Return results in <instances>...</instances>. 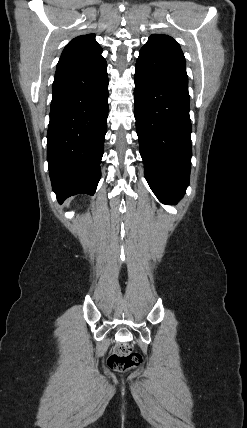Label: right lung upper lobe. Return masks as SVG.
I'll list each match as a JSON object with an SVG mask.
<instances>
[{"mask_svg":"<svg viewBox=\"0 0 247 428\" xmlns=\"http://www.w3.org/2000/svg\"><path fill=\"white\" fill-rule=\"evenodd\" d=\"M102 48L94 34L78 36L64 48L57 64L56 73L85 66L101 56Z\"/></svg>","mask_w":247,"mask_h":428,"instance_id":"right-lung-upper-lobe-1","label":"right lung upper lobe"}]
</instances>
